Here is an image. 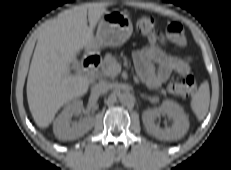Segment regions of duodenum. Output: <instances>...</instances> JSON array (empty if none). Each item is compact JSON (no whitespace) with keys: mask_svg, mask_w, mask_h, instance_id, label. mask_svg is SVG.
I'll list each match as a JSON object with an SVG mask.
<instances>
[{"mask_svg":"<svg viewBox=\"0 0 231 170\" xmlns=\"http://www.w3.org/2000/svg\"><path fill=\"white\" fill-rule=\"evenodd\" d=\"M100 64L101 57L93 53H87L82 60L84 69L91 73L95 72L100 67Z\"/></svg>","mask_w":231,"mask_h":170,"instance_id":"duodenum-1","label":"duodenum"}]
</instances>
